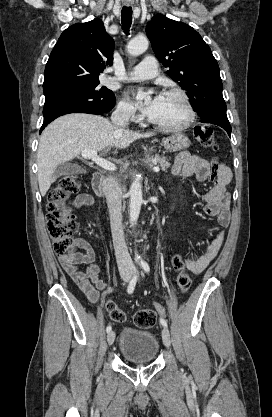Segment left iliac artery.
<instances>
[{
  "label": "left iliac artery",
  "instance_id": "obj_1",
  "mask_svg": "<svg viewBox=\"0 0 272 417\" xmlns=\"http://www.w3.org/2000/svg\"><path fill=\"white\" fill-rule=\"evenodd\" d=\"M141 267H142V268H143V270H144L145 272H147V273L150 271V267H149L148 263H147V262H145V261H141ZM160 323H161L163 326L167 327V321H166L165 319L161 318V319H160Z\"/></svg>",
  "mask_w": 272,
  "mask_h": 417
}]
</instances>
